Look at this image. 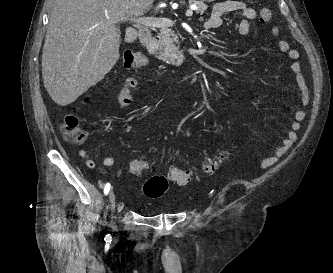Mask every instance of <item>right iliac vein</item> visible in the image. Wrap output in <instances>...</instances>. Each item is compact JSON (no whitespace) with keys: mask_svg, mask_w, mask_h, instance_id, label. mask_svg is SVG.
<instances>
[{"mask_svg":"<svg viewBox=\"0 0 333 273\" xmlns=\"http://www.w3.org/2000/svg\"><path fill=\"white\" fill-rule=\"evenodd\" d=\"M109 202H110V205H111V209L114 210L116 197H115V193H114L113 190H111L110 193H109ZM111 227H112L113 230H116V225H115L114 222H112Z\"/></svg>","mask_w":333,"mask_h":273,"instance_id":"63e3f726","label":"right iliac vein"}]
</instances>
